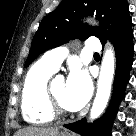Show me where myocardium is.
<instances>
[{"label": "myocardium", "instance_id": "myocardium-1", "mask_svg": "<svg viewBox=\"0 0 136 136\" xmlns=\"http://www.w3.org/2000/svg\"><path fill=\"white\" fill-rule=\"evenodd\" d=\"M46 97L48 106L53 113V115H66L68 114V110L64 108L61 103L55 97L52 91V83H48L46 87Z\"/></svg>", "mask_w": 136, "mask_h": 136}]
</instances>
